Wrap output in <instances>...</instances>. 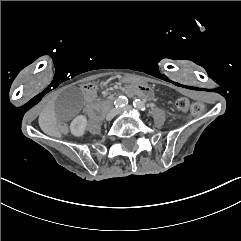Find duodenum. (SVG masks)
<instances>
[{
  "mask_svg": "<svg viewBox=\"0 0 241 241\" xmlns=\"http://www.w3.org/2000/svg\"><path fill=\"white\" fill-rule=\"evenodd\" d=\"M110 104H111V100H107V101L95 106V108L90 113L91 117L93 119L101 118L104 115V113L106 112V110L109 108Z\"/></svg>",
  "mask_w": 241,
  "mask_h": 241,
  "instance_id": "1",
  "label": "duodenum"
}]
</instances>
